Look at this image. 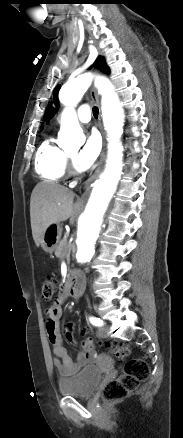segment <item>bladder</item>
I'll use <instances>...</instances> for the list:
<instances>
[{
    "instance_id": "31cf9c89",
    "label": "bladder",
    "mask_w": 183,
    "mask_h": 438,
    "mask_svg": "<svg viewBox=\"0 0 183 438\" xmlns=\"http://www.w3.org/2000/svg\"><path fill=\"white\" fill-rule=\"evenodd\" d=\"M102 374L96 367H85L77 374L58 381L60 394L76 397H91L99 383Z\"/></svg>"
}]
</instances>
